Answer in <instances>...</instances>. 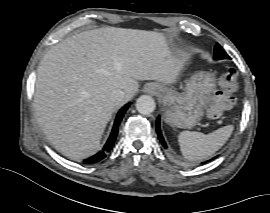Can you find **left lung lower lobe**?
Returning <instances> with one entry per match:
<instances>
[{"mask_svg":"<svg viewBox=\"0 0 270 213\" xmlns=\"http://www.w3.org/2000/svg\"><path fill=\"white\" fill-rule=\"evenodd\" d=\"M156 130H157V134H158V137L162 143V145L167 148V145H166V142L162 136V133H161V128H160V119L158 118L157 121H156Z\"/></svg>","mask_w":270,"mask_h":213,"instance_id":"0a47b994","label":"left lung lower lobe"}]
</instances>
